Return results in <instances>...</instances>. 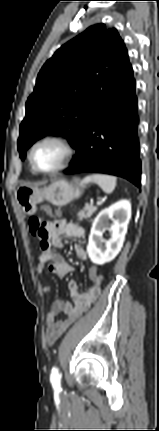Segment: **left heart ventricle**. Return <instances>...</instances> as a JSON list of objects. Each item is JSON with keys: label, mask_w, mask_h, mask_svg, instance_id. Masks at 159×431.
I'll list each match as a JSON object with an SVG mask.
<instances>
[{"label": "left heart ventricle", "mask_w": 159, "mask_h": 431, "mask_svg": "<svg viewBox=\"0 0 159 431\" xmlns=\"http://www.w3.org/2000/svg\"><path fill=\"white\" fill-rule=\"evenodd\" d=\"M64 157L63 148L52 142L39 145L33 153V161L37 168L43 171L57 167Z\"/></svg>", "instance_id": "left-heart-ventricle-1"}]
</instances>
